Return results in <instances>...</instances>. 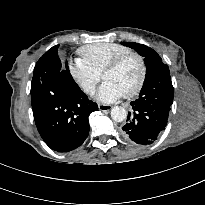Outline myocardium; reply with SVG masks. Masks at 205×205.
Listing matches in <instances>:
<instances>
[{
    "label": "myocardium",
    "mask_w": 205,
    "mask_h": 205,
    "mask_svg": "<svg viewBox=\"0 0 205 205\" xmlns=\"http://www.w3.org/2000/svg\"><path fill=\"white\" fill-rule=\"evenodd\" d=\"M129 58H135L138 61L140 73H139V78H138L135 86L130 91L124 93V96L126 98H132V97L136 96L137 94H139V92L142 90V88L145 84L146 77H147V65H146V61H145L144 57L142 55H140L139 53L132 52V51L123 53V54L117 56L116 58H114L112 61H110L104 67V69L101 73V77L104 78V75L107 72H110V71L117 69Z\"/></svg>",
    "instance_id": "1"
}]
</instances>
